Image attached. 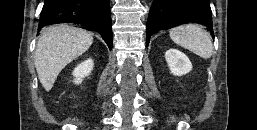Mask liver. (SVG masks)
<instances>
[{"instance_id":"liver-1","label":"liver","mask_w":257,"mask_h":130,"mask_svg":"<svg viewBox=\"0 0 257 130\" xmlns=\"http://www.w3.org/2000/svg\"><path fill=\"white\" fill-rule=\"evenodd\" d=\"M92 42V34L68 25L42 30L34 58L38 78L46 91L51 90L61 70L86 52Z\"/></svg>"}]
</instances>
